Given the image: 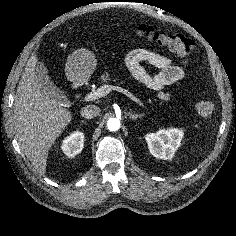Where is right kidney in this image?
<instances>
[{
	"label": "right kidney",
	"mask_w": 236,
	"mask_h": 236,
	"mask_svg": "<svg viewBox=\"0 0 236 236\" xmlns=\"http://www.w3.org/2000/svg\"><path fill=\"white\" fill-rule=\"evenodd\" d=\"M83 146L84 133L75 131L63 140L61 149L68 157H74L82 151Z\"/></svg>",
	"instance_id": "obj_1"
}]
</instances>
